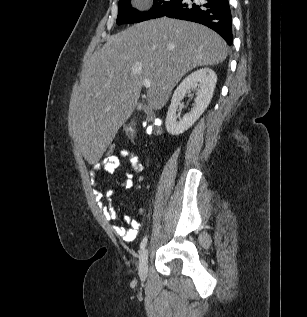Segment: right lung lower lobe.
<instances>
[{
    "label": "right lung lower lobe",
    "mask_w": 307,
    "mask_h": 317,
    "mask_svg": "<svg viewBox=\"0 0 307 317\" xmlns=\"http://www.w3.org/2000/svg\"><path fill=\"white\" fill-rule=\"evenodd\" d=\"M193 1V0H191ZM167 16L203 24L221 35L228 45L232 44V20L228 0H176L160 17Z\"/></svg>",
    "instance_id": "1"
}]
</instances>
